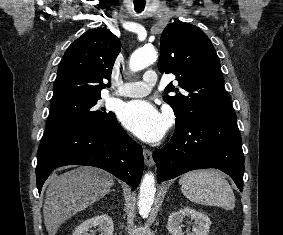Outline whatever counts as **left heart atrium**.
I'll use <instances>...</instances> for the list:
<instances>
[{"mask_svg": "<svg viewBox=\"0 0 283 235\" xmlns=\"http://www.w3.org/2000/svg\"><path fill=\"white\" fill-rule=\"evenodd\" d=\"M119 119L125 128L146 142L159 141L169 127L168 118L144 100L125 103L119 111Z\"/></svg>", "mask_w": 283, "mask_h": 235, "instance_id": "left-heart-atrium-1", "label": "left heart atrium"}]
</instances>
